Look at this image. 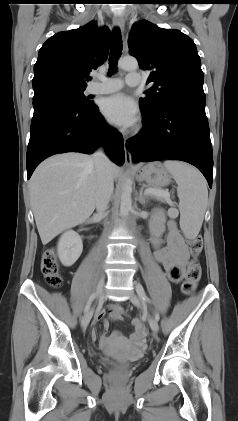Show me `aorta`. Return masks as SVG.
Returning a JSON list of instances; mask_svg holds the SVG:
<instances>
[{"label": "aorta", "instance_id": "1", "mask_svg": "<svg viewBox=\"0 0 238 421\" xmlns=\"http://www.w3.org/2000/svg\"><path fill=\"white\" fill-rule=\"evenodd\" d=\"M118 67L126 71L136 70L138 68V62L133 57H124L118 61ZM131 193V182L127 180L123 185L121 194L120 215L123 217H126L132 209Z\"/></svg>", "mask_w": 238, "mask_h": 421}]
</instances>
